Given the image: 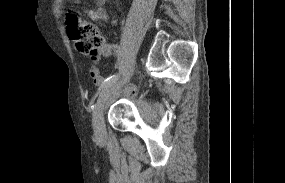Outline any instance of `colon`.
Masks as SVG:
<instances>
[{
    "label": "colon",
    "mask_w": 285,
    "mask_h": 183,
    "mask_svg": "<svg viewBox=\"0 0 285 183\" xmlns=\"http://www.w3.org/2000/svg\"><path fill=\"white\" fill-rule=\"evenodd\" d=\"M66 31L68 37L73 41L77 49L93 57L97 50L104 43V37L97 28L90 23L79 21L75 15H70L66 19Z\"/></svg>",
    "instance_id": "obj_1"
}]
</instances>
